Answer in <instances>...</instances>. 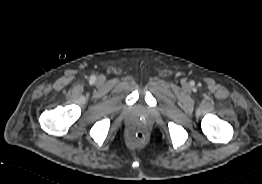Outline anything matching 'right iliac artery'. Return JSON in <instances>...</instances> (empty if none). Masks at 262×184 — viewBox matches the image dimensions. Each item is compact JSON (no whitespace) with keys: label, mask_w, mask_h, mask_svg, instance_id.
<instances>
[{"label":"right iliac artery","mask_w":262,"mask_h":184,"mask_svg":"<svg viewBox=\"0 0 262 184\" xmlns=\"http://www.w3.org/2000/svg\"><path fill=\"white\" fill-rule=\"evenodd\" d=\"M94 80H95V77H94V76H92V77H91V81H94Z\"/></svg>","instance_id":"obj_1"}]
</instances>
